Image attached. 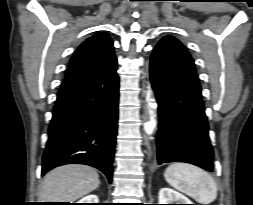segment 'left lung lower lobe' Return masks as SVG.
Listing matches in <instances>:
<instances>
[{
    "instance_id": "obj_1",
    "label": "left lung lower lobe",
    "mask_w": 253,
    "mask_h": 205,
    "mask_svg": "<svg viewBox=\"0 0 253 205\" xmlns=\"http://www.w3.org/2000/svg\"><path fill=\"white\" fill-rule=\"evenodd\" d=\"M150 79L158 103V164L186 162L212 171L201 86L194 61L180 41L167 36L156 45Z\"/></svg>"
}]
</instances>
